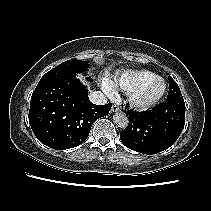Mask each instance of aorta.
<instances>
[{
  "label": "aorta",
  "instance_id": "aorta-1",
  "mask_svg": "<svg viewBox=\"0 0 211 211\" xmlns=\"http://www.w3.org/2000/svg\"><path fill=\"white\" fill-rule=\"evenodd\" d=\"M113 120L116 123V125L120 128H126L129 123L128 117L123 112L115 113L113 116Z\"/></svg>",
  "mask_w": 211,
  "mask_h": 211
}]
</instances>
